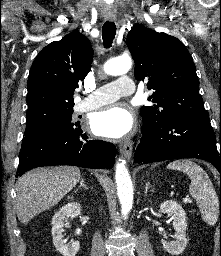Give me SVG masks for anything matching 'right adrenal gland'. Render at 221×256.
<instances>
[{
  "instance_id": "2a0ac1e0",
  "label": "right adrenal gland",
  "mask_w": 221,
  "mask_h": 256,
  "mask_svg": "<svg viewBox=\"0 0 221 256\" xmlns=\"http://www.w3.org/2000/svg\"><path fill=\"white\" fill-rule=\"evenodd\" d=\"M80 187H84V188L87 189V190L89 189V188L87 187V185L84 184V180H83V179H81V181H80L79 188H80Z\"/></svg>"
}]
</instances>
